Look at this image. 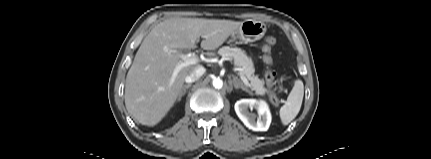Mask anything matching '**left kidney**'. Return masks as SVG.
Here are the masks:
<instances>
[{
	"instance_id": "1",
	"label": "left kidney",
	"mask_w": 431,
	"mask_h": 159,
	"mask_svg": "<svg viewBox=\"0 0 431 159\" xmlns=\"http://www.w3.org/2000/svg\"><path fill=\"white\" fill-rule=\"evenodd\" d=\"M235 112L246 127L253 131H267L271 123L268 105L263 100L241 99L235 103ZM255 109L258 117L248 109ZM257 117V120H256Z\"/></svg>"
}]
</instances>
